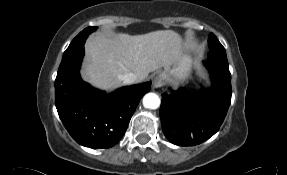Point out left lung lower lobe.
<instances>
[{
    "instance_id": "obj_1",
    "label": "left lung lower lobe",
    "mask_w": 287,
    "mask_h": 175,
    "mask_svg": "<svg viewBox=\"0 0 287 175\" xmlns=\"http://www.w3.org/2000/svg\"><path fill=\"white\" fill-rule=\"evenodd\" d=\"M212 87L192 94L183 89L162 94L160 116L164 135L179 146L200 144L220 128L231 103V74L228 62L204 61Z\"/></svg>"
}]
</instances>
